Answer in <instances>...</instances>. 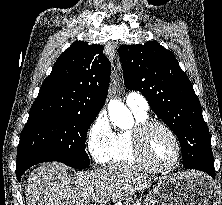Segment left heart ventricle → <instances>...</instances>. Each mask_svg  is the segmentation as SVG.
I'll list each match as a JSON object with an SVG mask.
<instances>
[{"mask_svg":"<svg viewBox=\"0 0 222 205\" xmlns=\"http://www.w3.org/2000/svg\"><path fill=\"white\" fill-rule=\"evenodd\" d=\"M145 148L151 159L160 165H169L176 156L173 139L161 128H153L147 133Z\"/></svg>","mask_w":222,"mask_h":205,"instance_id":"b2bd125f","label":"left heart ventricle"}]
</instances>
